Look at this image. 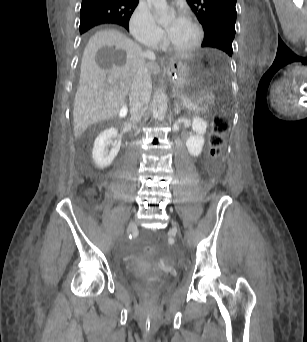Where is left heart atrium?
Listing matches in <instances>:
<instances>
[{
    "instance_id": "39dd6f15",
    "label": "left heart atrium",
    "mask_w": 307,
    "mask_h": 342,
    "mask_svg": "<svg viewBox=\"0 0 307 342\" xmlns=\"http://www.w3.org/2000/svg\"><path fill=\"white\" fill-rule=\"evenodd\" d=\"M183 24L184 21L181 18H177L165 29L167 41L173 39L178 34Z\"/></svg>"
}]
</instances>
